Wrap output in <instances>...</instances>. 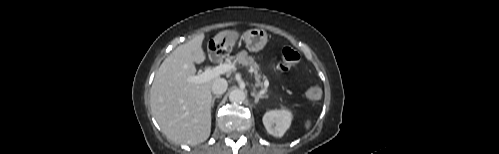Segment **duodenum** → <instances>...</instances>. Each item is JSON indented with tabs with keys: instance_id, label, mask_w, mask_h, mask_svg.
<instances>
[{
	"instance_id": "410a0bca",
	"label": "duodenum",
	"mask_w": 499,
	"mask_h": 154,
	"mask_svg": "<svg viewBox=\"0 0 499 154\" xmlns=\"http://www.w3.org/2000/svg\"><path fill=\"white\" fill-rule=\"evenodd\" d=\"M210 55H211V58H212L213 60H218V59L220 58V56H221V51H218V50H216V49H213V51L211 52V54H210Z\"/></svg>"
}]
</instances>
